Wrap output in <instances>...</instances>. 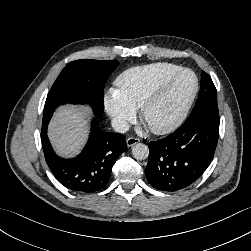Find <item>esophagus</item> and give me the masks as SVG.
Wrapping results in <instances>:
<instances>
[{"instance_id": "obj_1", "label": "esophagus", "mask_w": 251, "mask_h": 251, "mask_svg": "<svg viewBox=\"0 0 251 251\" xmlns=\"http://www.w3.org/2000/svg\"><path fill=\"white\" fill-rule=\"evenodd\" d=\"M140 140L138 138H135V137H130L127 139V146L128 147H131L133 145H135L136 143H138Z\"/></svg>"}]
</instances>
